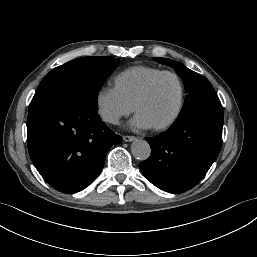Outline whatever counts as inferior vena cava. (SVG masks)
<instances>
[{"mask_svg":"<svg viewBox=\"0 0 257 257\" xmlns=\"http://www.w3.org/2000/svg\"><path fill=\"white\" fill-rule=\"evenodd\" d=\"M103 118H104L105 121L113 123V124L117 123L118 120H119V117L117 115H114V114L104 115Z\"/></svg>","mask_w":257,"mask_h":257,"instance_id":"inferior-vena-cava-1","label":"inferior vena cava"}]
</instances>
